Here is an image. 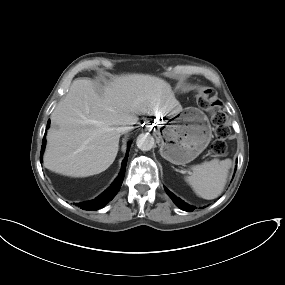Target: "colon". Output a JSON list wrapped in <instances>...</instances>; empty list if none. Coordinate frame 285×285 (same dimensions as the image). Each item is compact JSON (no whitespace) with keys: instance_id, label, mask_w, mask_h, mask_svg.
Returning <instances> with one entry per match:
<instances>
[{"instance_id":"colon-1","label":"colon","mask_w":285,"mask_h":285,"mask_svg":"<svg viewBox=\"0 0 285 285\" xmlns=\"http://www.w3.org/2000/svg\"><path fill=\"white\" fill-rule=\"evenodd\" d=\"M211 94V90L205 89L199 96L198 103L201 108L210 113L211 123L217 134V139L213 142L212 149L215 153L221 154L224 153L226 149V131L224 128L226 116L221 109V102L213 101Z\"/></svg>"}]
</instances>
